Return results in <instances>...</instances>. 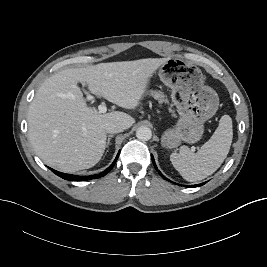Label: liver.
<instances>
[{
    "label": "liver",
    "mask_w": 267,
    "mask_h": 267,
    "mask_svg": "<svg viewBox=\"0 0 267 267\" xmlns=\"http://www.w3.org/2000/svg\"><path fill=\"white\" fill-rule=\"evenodd\" d=\"M167 58L100 63L66 69L46 79L31 102L28 137L40 159L63 172H76L96 165L106 148L105 125L110 121L135 123L130 115L112 111L101 114L89 107L78 86L125 109H135L152 74Z\"/></svg>",
    "instance_id": "6515ba94"
}]
</instances>
